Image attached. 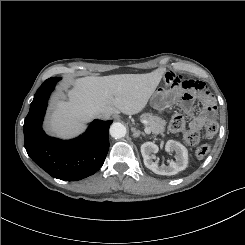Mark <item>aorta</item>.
<instances>
[{
  "instance_id": "1",
  "label": "aorta",
  "mask_w": 245,
  "mask_h": 245,
  "mask_svg": "<svg viewBox=\"0 0 245 245\" xmlns=\"http://www.w3.org/2000/svg\"><path fill=\"white\" fill-rule=\"evenodd\" d=\"M110 135L115 139H120L126 135V127L119 122H115L110 126Z\"/></svg>"
}]
</instances>
